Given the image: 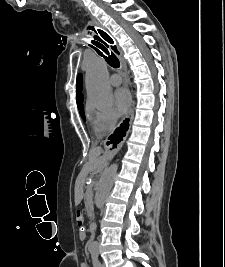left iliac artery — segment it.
I'll list each match as a JSON object with an SVG mask.
<instances>
[{
    "mask_svg": "<svg viewBox=\"0 0 225 267\" xmlns=\"http://www.w3.org/2000/svg\"><path fill=\"white\" fill-rule=\"evenodd\" d=\"M98 252L97 251H92L91 252V257H92V263H93V267H101V263L98 259Z\"/></svg>",
    "mask_w": 225,
    "mask_h": 267,
    "instance_id": "44dca946",
    "label": "left iliac artery"
}]
</instances>
